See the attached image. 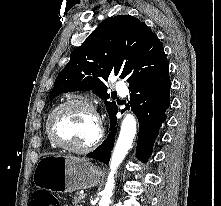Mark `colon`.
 Listing matches in <instances>:
<instances>
[{"mask_svg": "<svg viewBox=\"0 0 221 206\" xmlns=\"http://www.w3.org/2000/svg\"><path fill=\"white\" fill-rule=\"evenodd\" d=\"M30 206H61L59 201L46 190H38L30 199Z\"/></svg>", "mask_w": 221, "mask_h": 206, "instance_id": "colon-1", "label": "colon"}]
</instances>
